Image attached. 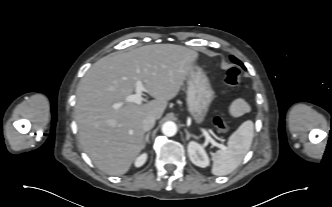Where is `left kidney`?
Returning <instances> with one entry per match:
<instances>
[{
	"label": "left kidney",
	"instance_id": "left-kidney-1",
	"mask_svg": "<svg viewBox=\"0 0 332 207\" xmlns=\"http://www.w3.org/2000/svg\"><path fill=\"white\" fill-rule=\"evenodd\" d=\"M188 155L191 162L199 167L205 168L209 165V158L204 148L197 142L191 141L188 144Z\"/></svg>",
	"mask_w": 332,
	"mask_h": 207
}]
</instances>
